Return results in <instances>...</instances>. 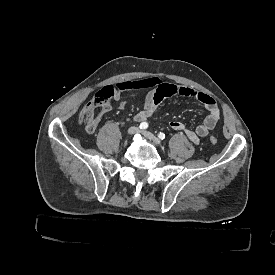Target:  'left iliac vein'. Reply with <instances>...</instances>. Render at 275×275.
<instances>
[{
    "instance_id": "left-iliac-vein-1",
    "label": "left iliac vein",
    "mask_w": 275,
    "mask_h": 275,
    "mask_svg": "<svg viewBox=\"0 0 275 275\" xmlns=\"http://www.w3.org/2000/svg\"><path fill=\"white\" fill-rule=\"evenodd\" d=\"M142 134L145 138L152 141L154 144H156V145L161 144V140L159 138H157L156 136H154L151 132L145 130V131H142Z\"/></svg>"
}]
</instances>
